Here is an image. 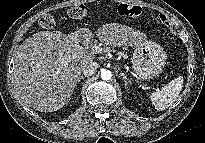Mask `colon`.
Segmentation results:
<instances>
[{"mask_svg":"<svg viewBox=\"0 0 205 143\" xmlns=\"http://www.w3.org/2000/svg\"><path fill=\"white\" fill-rule=\"evenodd\" d=\"M141 13V8L134 5L120 4L118 6V14L123 17H134L138 16ZM87 14L86 8L83 4H74L68 9V15L72 19L80 20L84 18ZM163 22L166 25H169L168 20L162 17ZM56 20L53 15L46 14L44 15L39 24L44 29H51L55 26Z\"/></svg>","mask_w":205,"mask_h":143,"instance_id":"obj_1","label":"colon"}]
</instances>
